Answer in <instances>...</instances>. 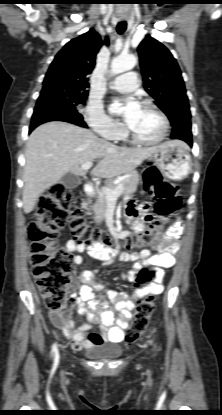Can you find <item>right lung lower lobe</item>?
Here are the masks:
<instances>
[{"mask_svg":"<svg viewBox=\"0 0 222 415\" xmlns=\"http://www.w3.org/2000/svg\"><path fill=\"white\" fill-rule=\"evenodd\" d=\"M49 121H65L87 128L81 114L64 96L56 90H42L37 101L29 132L38 125Z\"/></svg>","mask_w":222,"mask_h":415,"instance_id":"right-lung-lower-lobe-1","label":"right lung lower lobe"}]
</instances>
